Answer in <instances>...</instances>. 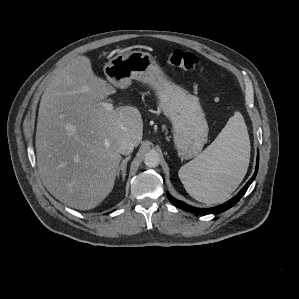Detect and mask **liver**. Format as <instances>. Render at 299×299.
I'll use <instances>...</instances> for the list:
<instances>
[{"label":"liver","mask_w":299,"mask_h":299,"mask_svg":"<svg viewBox=\"0 0 299 299\" xmlns=\"http://www.w3.org/2000/svg\"><path fill=\"white\" fill-rule=\"evenodd\" d=\"M86 56L71 59L46 87L40 102L36 155L46 189L78 210L98 206L112 191L123 140L140 144L143 120L133 106L107 111L99 101L112 94Z\"/></svg>","instance_id":"1"}]
</instances>
